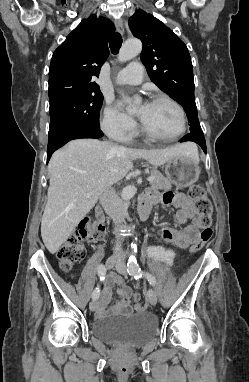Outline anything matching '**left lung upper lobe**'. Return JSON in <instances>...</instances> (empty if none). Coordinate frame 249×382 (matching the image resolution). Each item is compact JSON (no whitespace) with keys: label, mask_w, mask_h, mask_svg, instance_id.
<instances>
[{"label":"left lung upper lobe","mask_w":249,"mask_h":382,"mask_svg":"<svg viewBox=\"0 0 249 382\" xmlns=\"http://www.w3.org/2000/svg\"><path fill=\"white\" fill-rule=\"evenodd\" d=\"M134 36L143 44L140 55L148 75L162 91L184 108L190 133H202L194 98L193 66L183 41L166 25L143 10L129 19Z\"/></svg>","instance_id":"1"}]
</instances>
